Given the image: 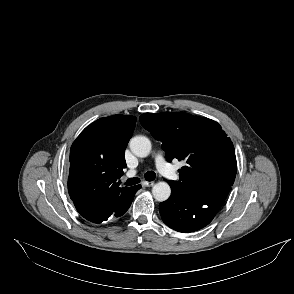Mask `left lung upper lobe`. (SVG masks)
I'll return each instance as SVG.
<instances>
[{
    "instance_id": "1",
    "label": "left lung upper lobe",
    "mask_w": 294,
    "mask_h": 294,
    "mask_svg": "<svg viewBox=\"0 0 294 294\" xmlns=\"http://www.w3.org/2000/svg\"><path fill=\"white\" fill-rule=\"evenodd\" d=\"M140 122L162 142L168 161L186 162L180 180L169 181L171 185L183 192L228 194L237 162L233 143L217 122L184 112L144 113Z\"/></svg>"
}]
</instances>
